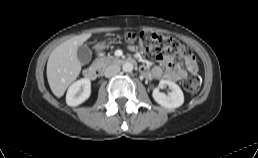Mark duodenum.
Returning <instances> with one entry per match:
<instances>
[{"mask_svg": "<svg viewBox=\"0 0 258 158\" xmlns=\"http://www.w3.org/2000/svg\"><path fill=\"white\" fill-rule=\"evenodd\" d=\"M116 64H133L134 60L130 58H117L113 60ZM101 68L99 66H90L84 70V76L88 80H95L101 75Z\"/></svg>", "mask_w": 258, "mask_h": 158, "instance_id": "obj_1", "label": "duodenum"}]
</instances>
